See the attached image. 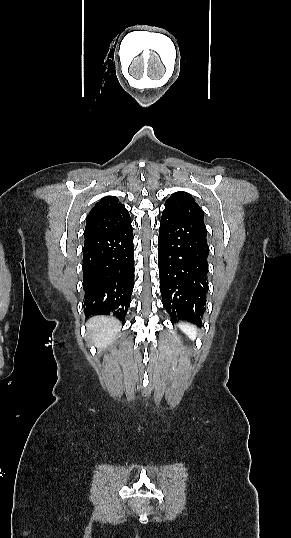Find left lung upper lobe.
<instances>
[{"instance_id": "5c2ea615", "label": "left lung upper lobe", "mask_w": 291, "mask_h": 538, "mask_svg": "<svg viewBox=\"0 0 291 538\" xmlns=\"http://www.w3.org/2000/svg\"><path fill=\"white\" fill-rule=\"evenodd\" d=\"M165 210L171 211L184 218L203 222V210L187 192L173 193L165 203Z\"/></svg>"}]
</instances>
